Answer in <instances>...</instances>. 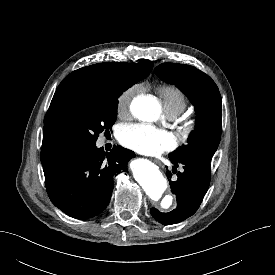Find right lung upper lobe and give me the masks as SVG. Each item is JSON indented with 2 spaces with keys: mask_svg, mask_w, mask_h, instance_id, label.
I'll list each match as a JSON object with an SVG mask.
<instances>
[{
  "mask_svg": "<svg viewBox=\"0 0 275 275\" xmlns=\"http://www.w3.org/2000/svg\"><path fill=\"white\" fill-rule=\"evenodd\" d=\"M153 63L144 60L139 63L105 62L83 67L70 73L58 86L52 101L68 94H83L93 91H124L146 78ZM123 91V92H124ZM64 145L50 124L44 120L43 142L41 151L42 165L48 164L66 153Z\"/></svg>",
  "mask_w": 275,
  "mask_h": 275,
  "instance_id": "obj_1",
  "label": "right lung upper lobe"
}]
</instances>
